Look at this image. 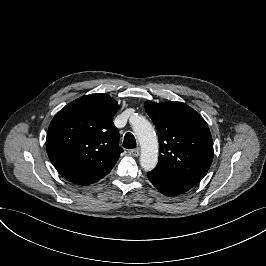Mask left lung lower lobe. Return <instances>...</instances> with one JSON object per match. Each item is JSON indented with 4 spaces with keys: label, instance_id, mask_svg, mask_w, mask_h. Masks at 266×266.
I'll use <instances>...</instances> for the list:
<instances>
[{
    "label": "left lung lower lobe",
    "instance_id": "left-lung-lower-lobe-1",
    "mask_svg": "<svg viewBox=\"0 0 266 266\" xmlns=\"http://www.w3.org/2000/svg\"><path fill=\"white\" fill-rule=\"evenodd\" d=\"M147 176L151 183L166 196H176L192 188L190 185L174 180L153 170L148 172Z\"/></svg>",
    "mask_w": 266,
    "mask_h": 266
}]
</instances>
